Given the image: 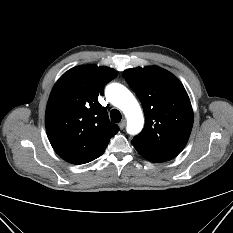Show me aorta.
<instances>
[{"instance_id": "obj_1", "label": "aorta", "mask_w": 233, "mask_h": 233, "mask_svg": "<svg viewBox=\"0 0 233 233\" xmlns=\"http://www.w3.org/2000/svg\"><path fill=\"white\" fill-rule=\"evenodd\" d=\"M106 98L114 106L123 111L127 119V132L135 135L144 124L142 110L133 94L123 85L112 83L106 87Z\"/></svg>"}]
</instances>
